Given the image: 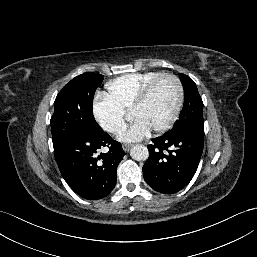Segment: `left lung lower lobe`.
<instances>
[{"label": "left lung lower lobe", "mask_w": 257, "mask_h": 257, "mask_svg": "<svg viewBox=\"0 0 257 257\" xmlns=\"http://www.w3.org/2000/svg\"><path fill=\"white\" fill-rule=\"evenodd\" d=\"M143 166L147 184L161 193H176L193 178L203 151L204 130L190 129L152 140Z\"/></svg>", "instance_id": "1"}]
</instances>
